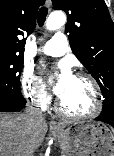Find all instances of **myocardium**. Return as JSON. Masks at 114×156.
<instances>
[{"instance_id": "f54148a6", "label": "myocardium", "mask_w": 114, "mask_h": 156, "mask_svg": "<svg viewBox=\"0 0 114 156\" xmlns=\"http://www.w3.org/2000/svg\"><path fill=\"white\" fill-rule=\"evenodd\" d=\"M74 77L86 79L92 86L94 91V96H95L94 108L89 113L86 114H71L68 113L66 110H64L59 98L56 101V107H55L57 113L62 117L71 120H87L96 117L100 113L103 106L102 93L97 80L91 74L82 71L76 73Z\"/></svg>"}]
</instances>
